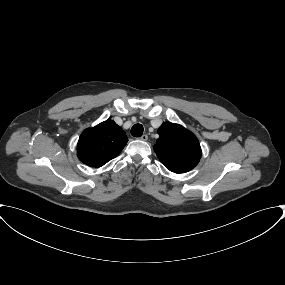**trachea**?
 <instances>
[{
    "mask_svg": "<svg viewBox=\"0 0 285 285\" xmlns=\"http://www.w3.org/2000/svg\"><path fill=\"white\" fill-rule=\"evenodd\" d=\"M143 130V126L138 123L133 125V127L131 128V134L134 137H141L143 134Z\"/></svg>",
    "mask_w": 285,
    "mask_h": 285,
    "instance_id": "3493384b",
    "label": "trachea"
}]
</instances>
